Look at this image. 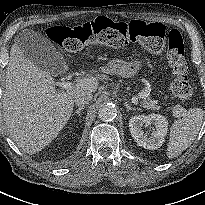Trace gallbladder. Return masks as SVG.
<instances>
[{"mask_svg": "<svg viewBox=\"0 0 205 205\" xmlns=\"http://www.w3.org/2000/svg\"><path fill=\"white\" fill-rule=\"evenodd\" d=\"M16 43L26 57L42 70L52 73L65 65L52 42L38 32L24 29L17 35Z\"/></svg>", "mask_w": 205, "mask_h": 205, "instance_id": "obj_1", "label": "gallbladder"}]
</instances>
